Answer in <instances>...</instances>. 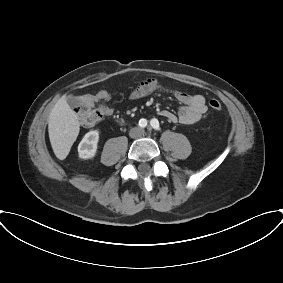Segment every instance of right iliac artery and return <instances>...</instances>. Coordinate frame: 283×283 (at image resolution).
I'll return each mask as SVG.
<instances>
[{
  "label": "right iliac artery",
  "mask_w": 283,
  "mask_h": 283,
  "mask_svg": "<svg viewBox=\"0 0 283 283\" xmlns=\"http://www.w3.org/2000/svg\"><path fill=\"white\" fill-rule=\"evenodd\" d=\"M139 126L144 128L147 126V120L146 119H140Z\"/></svg>",
  "instance_id": "82829eb1"
}]
</instances>
